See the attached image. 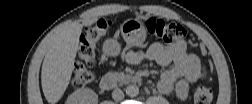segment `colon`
I'll return each mask as SVG.
<instances>
[{
  "label": "colon",
  "instance_id": "colon-1",
  "mask_svg": "<svg viewBox=\"0 0 252 104\" xmlns=\"http://www.w3.org/2000/svg\"><path fill=\"white\" fill-rule=\"evenodd\" d=\"M109 22L100 20L86 27L80 37V60L74 64L71 82L75 88H83L92 83L95 76L91 71L95 57L96 43L102 39L109 30ZM146 30L150 37L171 43L189 37L186 29L180 24L159 18H149L146 21ZM212 100V90L207 86H199L194 93L197 104H208Z\"/></svg>",
  "mask_w": 252,
  "mask_h": 104
}]
</instances>
